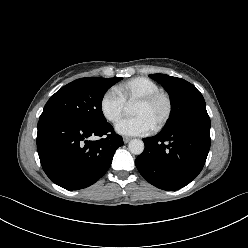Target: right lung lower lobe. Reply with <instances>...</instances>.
<instances>
[{"label":"right lung lower lobe","mask_w":248,"mask_h":248,"mask_svg":"<svg viewBox=\"0 0 248 248\" xmlns=\"http://www.w3.org/2000/svg\"><path fill=\"white\" fill-rule=\"evenodd\" d=\"M37 151L46 175L67 190L88 187L100 179L111 165L121 136L109 123L86 124L56 116L39 119ZM107 135L97 141L91 136Z\"/></svg>","instance_id":"obj_1"}]
</instances>
